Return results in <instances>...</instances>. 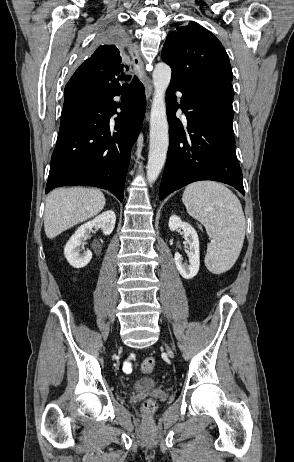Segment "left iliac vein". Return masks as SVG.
Segmentation results:
<instances>
[{"label":"left iliac vein","instance_id":"obj_1","mask_svg":"<svg viewBox=\"0 0 294 462\" xmlns=\"http://www.w3.org/2000/svg\"><path fill=\"white\" fill-rule=\"evenodd\" d=\"M166 349L169 353H172L171 349L166 345Z\"/></svg>","mask_w":294,"mask_h":462}]
</instances>
